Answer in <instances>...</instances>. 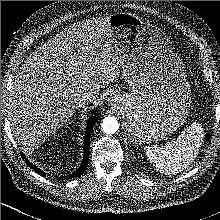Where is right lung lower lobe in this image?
I'll return each instance as SVG.
<instances>
[{
    "instance_id": "1",
    "label": "right lung lower lobe",
    "mask_w": 220,
    "mask_h": 220,
    "mask_svg": "<svg viewBox=\"0 0 220 220\" xmlns=\"http://www.w3.org/2000/svg\"><path fill=\"white\" fill-rule=\"evenodd\" d=\"M96 113V111H93V114ZM99 119V115L96 113L95 116H92L88 122H87V126H86V132H85V137H84V156H83V160L82 163L80 165V167L70 176V177H78L80 176L87 168L88 166V160H89V144H90V136L92 133V129L93 126L95 125L96 121ZM22 157H25L22 154ZM26 164L34 169V171L38 174H40L41 176H45L44 172L42 170H40L38 167L34 166L33 164H31L27 159L25 160Z\"/></svg>"
}]
</instances>
